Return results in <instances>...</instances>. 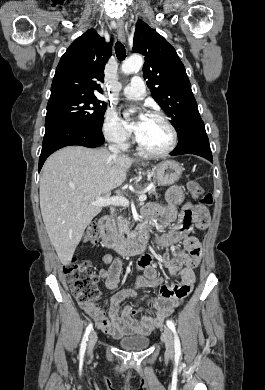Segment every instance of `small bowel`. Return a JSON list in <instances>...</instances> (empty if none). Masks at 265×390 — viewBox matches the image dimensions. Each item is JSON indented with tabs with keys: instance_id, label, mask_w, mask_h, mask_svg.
<instances>
[{
	"instance_id": "1",
	"label": "small bowel",
	"mask_w": 265,
	"mask_h": 390,
	"mask_svg": "<svg viewBox=\"0 0 265 390\" xmlns=\"http://www.w3.org/2000/svg\"><path fill=\"white\" fill-rule=\"evenodd\" d=\"M166 200L167 203L164 205L148 204L142 214L146 219L159 218L161 226L168 229L156 239V242L160 247L173 248L172 256L164 254L161 256V261L170 275L179 276V282L176 285H170L159 278L157 269L152 265L154 256L142 255L137 264L142 274L137 278L133 287L119 291L111 297L109 318L105 311L95 303L81 304L82 309L107 335L117 338L128 334H149L163 324L164 320L193 289L194 269L200 262L201 246L198 239L191 235L192 225H195L197 229H205L208 225L209 213L204 206L186 201L182 189L177 186L167 191ZM178 206H181L180 221L173 224L178 216ZM178 243H182L183 249L176 248ZM103 263L106 268L100 270L99 277L104 280L106 288L114 290L118 287L123 263L112 254H105ZM140 287L158 289L159 295L156 299L150 300L148 296L144 297L155 310L154 315H144L140 320H135L133 315L140 309L131 305L126 306L119 314L120 302L135 297L136 289Z\"/></svg>"
}]
</instances>
